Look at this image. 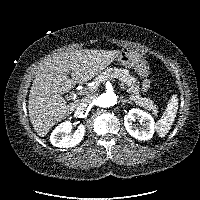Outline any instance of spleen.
<instances>
[{"instance_id":"spleen-1","label":"spleen","mask_w":200,"mask_h":200,"mask_svg":"<svg viewBox=\"0 0 200 200\" xmlns=\"http://www.w3.org/2000/svg\"><path fill=\"white\" fill-rule=\"evenodd\" d=\"M178 110V99L177 95L174 94L168 104L165 112L163 113L162 117L156 123V131L158 132L160 137H165L171 126L175 120L176 114Z\"/></svg>"}]
</instances>
